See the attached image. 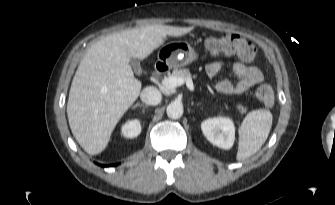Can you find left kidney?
<instances>
[{
  "mask_svg": "<svg viewBox=\"0 0 335 205\" xmlns=\"http://www.w3.org/2000/svg\"><path fill=\"white\" fill-rule=\"evenodd\" d=\"M201 129L207 140L222 149H230L235 140V125L228 117L209 118L202 122Z\"/></svg>",
  "mask_w": 335,
  "mask_h": 205,
  "instance_id": "1",
  "label": "left kidney"
}]
</instances>
